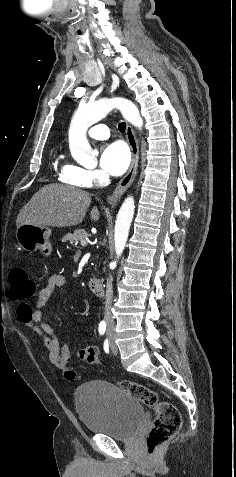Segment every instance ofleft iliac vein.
I'll return each instance as SVG.
<instances>
[{"mask_svg": "<svg viewBox=\"0 0 236 477\" xmlns=\"http://www.w3.org/2000/svg\"><path fill=\"white\" fill-rule=\"evenodd\" d=\"M110 348H111V351L114 355H116L118 353V348H117V345H116L113 338H111V340H110Z\"/></svg>", "mask_w": 236, "mask_h": 477, "instance_id": "obj_1", "label": "left iliac vein"}]
</instances>
